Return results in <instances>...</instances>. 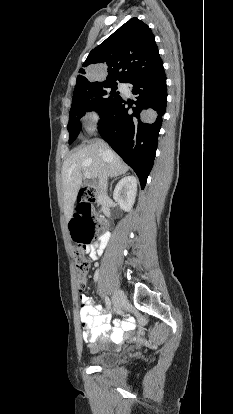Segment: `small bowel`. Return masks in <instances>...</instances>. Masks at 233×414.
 Masks as SVG:
<instances>
[{
    "label": "small bowel",
    "instance_id": "c3829d8e",
    "mask_svg": "<svg viewBox=\"0 0 233 414\" xmlns=\"http://www.w3.org/2000/svg\"><path fill=\"white\" fill-rule=\"evenodd\" d=\"M108 239V233H103L95 243L86 248V252L93 261H97L103 254ZM86 286H91V278H86ZM80 297V321L84 341L92 349L98 348L96 342L101 338L108 339L114 344H121L127 338L126 333L133 329V322L126 319L117 322L116 326L112 328L109 323L110 315L104 311L100 304L95 302L92 297L85 296V292H80Z\"/></svg>",
    "mask_w": 233,
    "mask_h": 414
}]
</instances>
